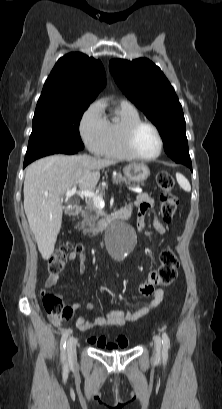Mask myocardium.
I'll list each match as a JSON object with an SVG mask.
<instances>
[{"instance_id": "f54148a6", "label": "myocardium", "mask_w": 222, "mask_h": 409, "mask_svg": "<svg viewBox=\"0 0 222 409\" xmlns=\"http://www.w3.org/2000/svg\"><path fill=\"white\" fill-rule=\"evenodd\" d=\"M143 126H148L152 128L158 137L159 148H158L157 153H155L152 156H143L139 154L134 146L135 135L137 131ZM124 146L132 158H135L141 161H151V160L157 159L161 155L163 148H164V140H163L162 133L160 132L159 128L155 124L149 121L139 120L129 125L128 128L126 129L124 133Z\"/></svg>"}]
</instances>
